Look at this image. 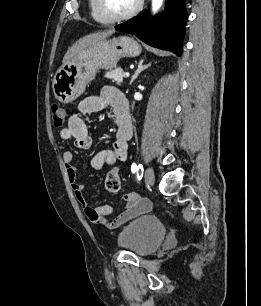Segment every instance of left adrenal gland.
Returning a JSON list of instances; mask_svg holds the SVG:
<instances>
[{
	"label": "left adrenal gland",
	"mask_w": 261,
	"mask_h": 306,
	"mask_svg": "<svg viewBox=\"0 0 261 306\" xmlns=\"http://www.w3.org/2000/svg\"><path fill=\"white\" fill-rule=\"evenodd\" d=\"M143 61L144 60H141L138 64V67H137V70L135 71L134 75L132 76L131 78V81H130V85L135 81V79H137V77L139 76V74L141 72H143L144 70H146L148 67H150L151 63H149L148 65H143Z\"/></svg>",
	"instance_id": "left-adrenal-gland-1"
}]
</instances>
